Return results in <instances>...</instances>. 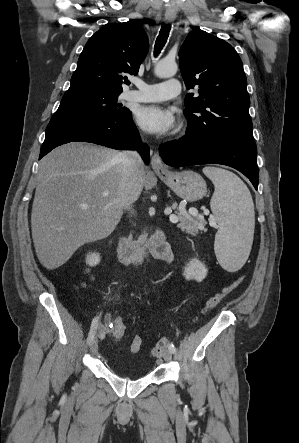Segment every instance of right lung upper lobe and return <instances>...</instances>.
Here are the masks:
<instances>
[{
    "mask_svg": "<svg viewBox=\"0 0 299 443\" xmlns=\"http://www.w3.org/2000/svg\"><path fill=\"white\" fill-rule=\"evenodd\" d=\"M148 38L140 21L107 24L86 43L70 88L94 87L122 92L126 74L137 75L148 52Z\"/></svg>",
    "mask_w": 299,
    "mask_h": 443,
    "instance_id": "1",
    "label": "right lung upper lobe"
}]
</instances>
